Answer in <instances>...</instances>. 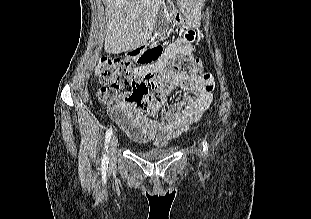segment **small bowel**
<instances>
[{"label":"small bowel","instance_id":"obj_1","mask_svg":"<svg viewBox=\"0 0 311 219\" xmlns=\"http://www.w3.org/2000/svg\"><path fill=\"white\" fill-rule=\"evenodd\" d=\"M192 45L187 39L179 38L168 46L161 56L152 64L137 68L140 76H150L158 87L165 83H173L176 75L165 70L166 63L176 55H191ZM181 100L169 106L161 118L149 120L133 105L121 103L118 106L119 115H115L110 107L107 113L118 127L132 139L140 142L152 140L163 144L179 137L188 126L198 121L209 108L214 91V78L207 74L203 77L188 76L183 87Z\"/></svg>","mask_w":311,"mask_h":219}]
</instances>
